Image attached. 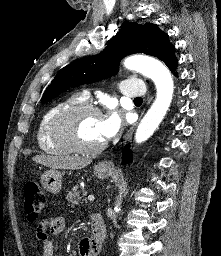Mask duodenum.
<instances>
[{
  "label": "duodenum",
  "mask_w": 221,
  "mask_h": 256,
  "mask_svg": "<svg viewBox=\"0 0 221 256\" xmlns=\"http://www.w3.org/2000/svg\"><path fill=\"white\" fill-rule=\"evenodd\" d=\"M105 236V225L102 217L95 214L92 219V227L90 233V240L97 245H100Z\"/></svg>",
  "instance_id": "duodenum-1"
}]
</instances>
